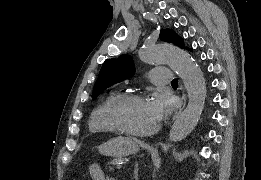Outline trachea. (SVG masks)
I'll list each match as a JSON object with an SVG mask.
<instances>
[{"label":"trachea","instance_id":"3493384b","mask_svg":"<svg viewBox=\"0 0 261 180\" xmlns=\"http://www.w3.org/2000/svg\"><path fill=\"white\" fill-rule=\"evenodd\" d=\"M171 84H178V80L176 78H174V80H172Z\"/></svg>","mask_w":261,"mask_h":180}]
</instances>
